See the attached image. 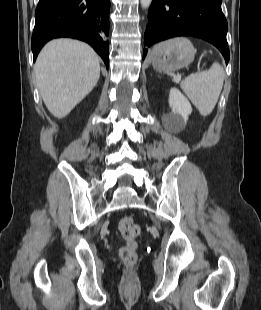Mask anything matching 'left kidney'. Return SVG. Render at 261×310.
I'll return each mask as SVG.
<instances>
[{
    "mask_svg": "<svg viewBox=\"0 0 261 310\" xmlns=\"http://www.w3.org/2000/svg\"><path fill=\"white\" fill-rule=\"evenodd\" d=\"M169 105L171 112L163 117V121L170 129H180L192 113V106L188 99L175 87L170 89Z\"/></svg>",
    "mask_w": 261,
    "mask_h": 310,
    "instance_id": "1",
    "label": "left kidney"
}]
</instances>
